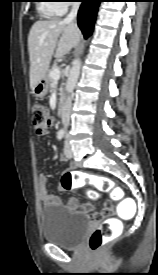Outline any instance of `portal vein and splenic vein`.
Returning <instances> with one entry per match:
<instances>
[{
  "label": "portal vein and splenic vein",
  "mask_w": 158,
  "mask_h": 275,
  "mask_svg": "<svg viewBox=\"0 0 158 275\" xmlns=\"http://www.w3.org/2000/svg\"><path fill=\"white\" fill-rule=\"evenodd\" d=\"M50 75H51L52 79L58 80L61 76V71L59 68H56L51 72Z\"/></svg>",
  "instance_id": "portal-vein-and-splenic-vein-1"
}]
</instances>
